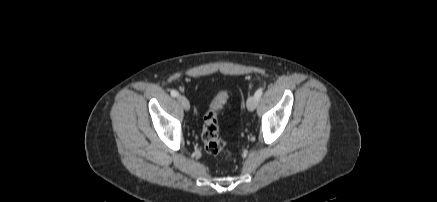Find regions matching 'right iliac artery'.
<instances>
[{
  "mask_svg": "<svg viewBox=\"0 0 437 202\" xmlns=\"http://www.w3.org/2000/svg\"><path fill=\"white\" fill-rule=\"evenodd\" d=\"M171 96L172 97H177L178 96V92L176 90H172L171 91Z\"/></svg>",
  "mask_w": 437,
  "mask_h": 202,
  "instance_id": "1",
  "label": "right iliac artery"
}]
</instances>
